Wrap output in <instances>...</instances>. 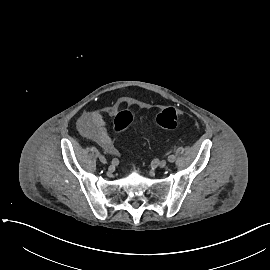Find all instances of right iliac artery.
<instances>
[{
    "instance_id": "right-iliac-artery-1",
    "label": "right iliac artery",
    "mask_w": 270,
    "mask_h": 270,
    "mask_svg": "<svg viewBox=\"0 0 270 270\" xmlns=\"http://www.w3.org/2000/svg\"><path fill=\"white\" fill-rule=\"evenodd\" d=\"M118 163H119V161H118L117 158H114V159H112V161H111V164H112L113 166L118 165Z\"/></svg>"
}]
</instances>
